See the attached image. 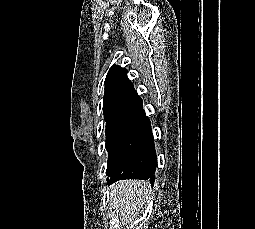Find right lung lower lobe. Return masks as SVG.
I'll use <instances>...</instances> for the list:
<instances>
[{"label": "right lung lower lobe", "mask_w": 255, "mask_h": 229, "mask_svg": "<svg viewBox=\"0 0 255 229\" xmlns=\"http://www.w3.org/2000/svg\"><path fill=\"white\" fill-rule=\"evenodd\" d=\"M125 115L128 116V118L138 122L142 130H151L150 120L146 116L142 106L137 109L130 110ZM156 169H157V157L154 150L150 163L146 168L134 166L133 168H131V170L127 171L126 173L123 172L109 175L110 179H107V181L109 184H111L115 181L122 179H142V180L150 179L151 184L153 185L155 182Z\"/></svg>", "instance_id": "obj_1"}]
</instances>
